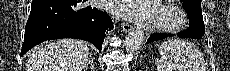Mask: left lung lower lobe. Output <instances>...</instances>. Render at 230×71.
Instances as JSON below:
<instances>
[{
  "instance_id": "obj_1",
  "label": "left lung lower lobe",
  "mask_w": 230,
  "mask_h": 71,
  "mask_svg": "<svg viewBox=\"0 0 230 71\" xmlns=\"http://www.w3.org/2000/svg\"><path fill=\"white\" fill-rule=\"evenodd\" d=\"M185 10L190 19L189 28L177 34V36L181 38L201 39L205 32V25L203 22L202 11L197 8H192V7L187 8ZM167 36H170V35L169 34H159V33L152 34L147 40V43H151V42L166 38Z\"/></svg>"
}]
</instances>
